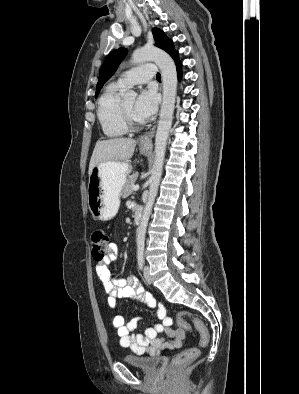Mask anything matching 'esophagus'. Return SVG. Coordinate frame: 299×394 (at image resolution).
I'll use <instances>...</instances> for the list:
<instances>
[{"label":"esophagus","instance_id":"34e87169","mask_svg":"<svg viewBox=\"0 0 299 394\" xmlns=\"http://www.w3.org/2000/svg\"><path fill=\"white\" fill-rule=\"evenodd\" d=\"M154 129L155 128H153L149 133H146L139 138V145L142 148H151L152 147L151 134L153 133Z\"/></svg>","mask_w":299,"mask_h":394}]
</instances>
